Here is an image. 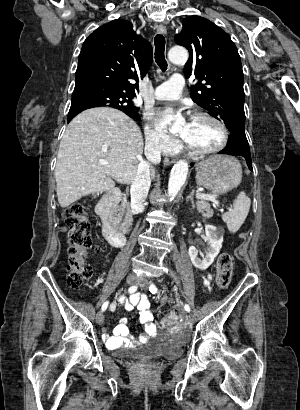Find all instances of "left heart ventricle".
I'll list each match as a JSON object with an SVG mask.
<instances>
[{
  "mask_svg": "<svg viewBox=\"0 0 300 410\" xmlns=\"http://www.w3.org/2000/svg\"><path fill=\"white\" fill-rule=\"evenodd\" d=\"M179 133L185 141L201 150L215 148L222 141L221 129L207 119H192L180 127Z\"/></svg>",
  "mask_w": 300,
  "mask_h": 410,
  "instance_id": "left-heart-ventricle-1",
  "label": "left heart ventricle"
}]
</instances>
